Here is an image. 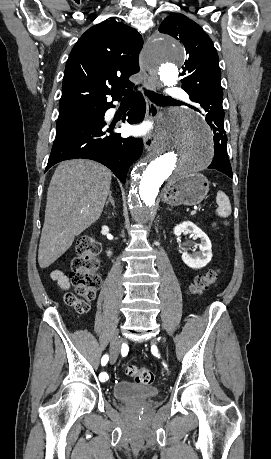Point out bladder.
<instances>
[{
	"label": "bladder",
	"mask_w": 271,
	"mask_h": 459,
	"mask_svg": "<svg viewBox=\"0 0 271 459\" xmlns=\"http://www.w3.org/2000/svg\"><path fill=\"white\" fill-rule=\"evenodd\" d=\"M159 387L144 383H134L130 381L117 382L113 388V395L122 401L143 398L152 399L159 395Z\"/></svg>",
	"instance_id": "1"
}]
</instances>
